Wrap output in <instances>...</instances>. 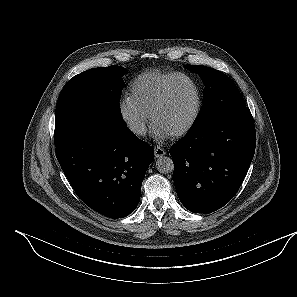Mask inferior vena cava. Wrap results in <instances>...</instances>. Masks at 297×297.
<instances>
[{
	"label": "inferior vena cava",
	"mask_w": 297,
	"mask_h": 297,
	"mask_svg": "<svg viewBox=\"0 0 297 297\" xmlns=\"http://www.w3.org/2000/svg\"><path fill=\"white\" fill-rule=\"evenodd\" d=\"M130 130L137 135H146L147 129L142 121H134L129 124Z\"/></svg>",
	"instance_id": "inferior-vena-cava-1"
}]
</instances>
